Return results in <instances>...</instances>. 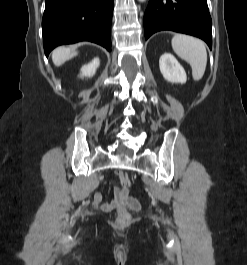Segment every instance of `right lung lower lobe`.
Masks as SVG:
<instances>
[{
  "instance_id": "98d812e1",
  "label": "right lung lower lobe",
  "mask_w": 247,
  "mask_h": 265,
  "mask_svg": "<svg viewBox=\"0 0 247 265\" xmlns=\"http://www.w3.org/2000/svg\"><path fill=\"white\" fill-rule=\"evenodd\" d=\"M113 0H46L42 19L46 56L55 47L91 41L111 50Z\"/></svg>"
}]
</instances>
